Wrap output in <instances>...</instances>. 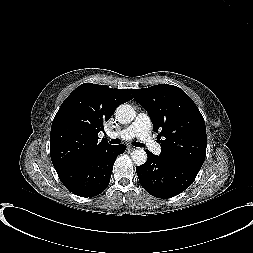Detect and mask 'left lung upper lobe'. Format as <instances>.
Instances as JSON below:
<instances>
[{
  "label": "left lung upper lobe",
  "mask_w": 253,
  "mask_h": 253,
  "mask_svg": "<svg viewBox=\"0 0 253 253\" xmlns=\"http://www.w3.org/2000/svg\"><path fill=\"white\" fill-rule=\"evenodd\" d=\"M147 110L161 143V158L199 172L206 155V127L193 100L173 85L130 90ZM164 137L163 140H160Z\"/></svg>",
  "instance_id": "left-lung-upper-lobe-1"
}]
</instances>
